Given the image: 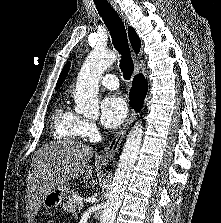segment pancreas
Segmentation results:
<instances>
[{
  "label": "pancreas",
  "mask_w": 221,
  "mask_h": 223,
  "mask_svg": "<svg viewBox=\"0 0 221 223\" xmlns=\"http://www.w3.org/2000/svg\"><path fill=\"white\" fill-rule=\"evenodd\" d=\"M74 192H70L67 202L63 205V209L70 213H76L81 208L78 200L73 198Z\"/></svg>",
  "instance_id": "cf45deb5"
}]
</instances>
